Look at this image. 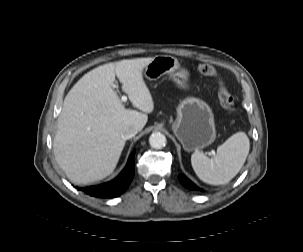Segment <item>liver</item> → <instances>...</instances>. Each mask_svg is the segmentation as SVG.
I'll return each mask as SVG.
<instances>
[{
  "instance_id": "liver-1",
  "label": "liver",
  "mask_w": 303,
  "mask_h": 252,
  "mask_svg": "<svg viewBox=\"0 0 303 252\" xmlns=\"http://www.w3.org/2000/svg\"><path fill=\"white\" fill-rule=\"evenodd\" d=\"M152 57L110 62L86 73L64 99L57 120L53 151L56 162L73 183L99 181L113 172L125 140L121 129L141 131L154 109L143 79ZM115 76L131 103L144 113L126 109L112 85Z\"/></svg>"
}]
</instances>
